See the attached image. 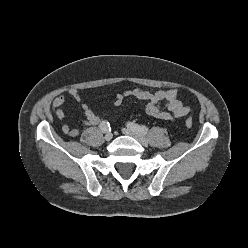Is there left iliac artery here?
<instances>
[{
    "mask_svg": "<svg viewBox=\"0 0 248 248\" xmlns=\"http://www.w3.org/2000/svg\"><path fill=\"white\" fill-rule=\"evenodd\" d=\"M128 126L134 130L135 132L139 133V134H142V135H145L147 134L148 132V127L144 126V125H138V124H135V123H128Z\"/></svg>",
    "mask_w": 248,
    "mask_h": 248,
    "instance_id": "44dca946",
    "label": "left iliac artery"
}]
</instances>
